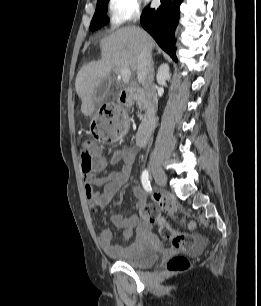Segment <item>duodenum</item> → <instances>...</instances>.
Returning <instances> with one entry per match:
<instances>
[{
  "instance_id": "obj_1",
  "label": "duodenum",
  "mask_w": 261,
  "mask_h": 306,
  "mask_svg": "<svg viewBox=\"0 0 261 306\" xmlns=\"http://www.w3.org/2000/svg\"><path fill=\"white\" fill-rule=\"evenodd\" d=\"M136 100H141L146 105L145 115L136 135L137 145L142 146L146 143L149 134L155 126V106L152 102L147 100L145 92L138 87L125 88L119 94V102L124 105H128L131 101Z\"/></svg>"
}]
</instances>
